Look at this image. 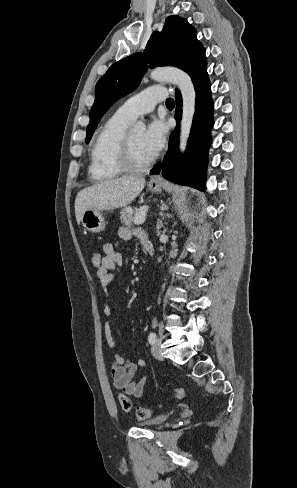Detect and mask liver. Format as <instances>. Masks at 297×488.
<instances>
[{"mask_svg":"<svg viewBox=\"0 0 297 488\" xmlns=\"http://www.w3.org/2000/svg\"><path fill=\"white\" fill-rule=\"evenodd\" d=\"M145 179L142 176H123L110 179L81 190L75 199V215L81 221L84 211L112 210L130 204L143 190Z\"/></svg>","mask_w":297,"mask_h":488,"instance_id":"obj_1","label":"liver"}]
</instances>
